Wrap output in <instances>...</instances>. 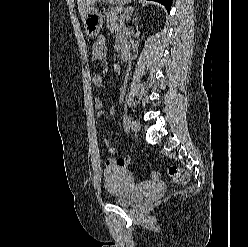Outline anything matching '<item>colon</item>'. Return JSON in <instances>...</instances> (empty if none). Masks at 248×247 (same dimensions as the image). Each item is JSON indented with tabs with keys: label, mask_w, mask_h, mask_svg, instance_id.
Segmentation results:
<instances>
[{
	"label": "colon",
	"mask_w": 248,
	"mask_h": 247,
	"mask_svg": "<svg viewBox=\"0 0 248 247\" xmlns=\"http://www.w3.org/2000/svg\"><path fill=\"white\" fill-rule=\"evenodd\" d=\"M168 173L171 179L173 180V182L177 184H185L187 182L188 179L187 173L183 168L179 166H175V165L170 166L168 169ZM151 176L153 178H157L158 173L153 171L151 173Z\"/></svg>",
	"instance_id": "obj_1"
}]
</instances>
